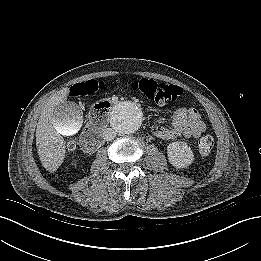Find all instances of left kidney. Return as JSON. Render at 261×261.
Listing matches in <instances>:
<instances>
[{
    "label": "left kidney",
    "instance_id": "obj_1",
    "mask_svg": "<svg viewBox=\"0 0 261 261\" xmlns=\"http://www.w3.org/2000/svg\"><path fill=\"white\" fill-rule=\"evenodd\" d=\"M169 162L176 168H185L194 160L191 148L185 142L176 141L167 146Z\"/></svg>",
    "mask_w": 261,
    "mask_h": 261
}]
</instances>
